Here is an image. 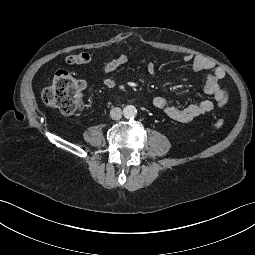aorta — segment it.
<instances>
[{
	"instance_id": "762f6f07",
	"label": "aorta",
	"mask_w": 255,
	"mask_h": 255,
	"mask_svg": "<svg viewBox=\"0 0 255 255\" xmlns=\"http://www.w3.org/2000/svg\"><path fill=\"white\" fill-rule=\"evenodd\" d=\"M123 115L125 118H134L137 115V109L133 105H127L123 109Z\"/></svg>"
}]
</instances>
